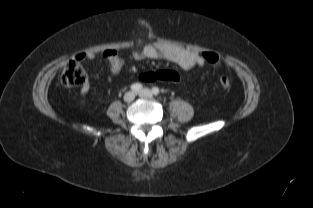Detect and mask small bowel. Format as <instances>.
Wrapping results in <instances>:
<instances>
[{
    "label": "small bowel",
    "mask_w": 313,
    "mask_h": 208,
    "mask_svg": "<svg viewBox=\"0 0 313 208\" xmlns=\"http://www.w3.org/2000/svg\"><path fill=\"white\" fill-rule=\"evenodd\" d=\"M78 58L79 60H92L95 58V54L92 52L85 53L80 55ZM102 58L109 64L111 71L114 73L120 71L124 65V59L120 56L118 51L113 49L104 51ZM130 59L133 61H141L145 59H165L184 70H189L193 67L205 64L204 59L199 53L191 52L185 49L167 47L158 43L148 44L135 50L130 55ZM88 91L89 84L86 83L80 90L81 98H84Z\"/></svg>",
    "instance_id": "1"
}]
</instances>
